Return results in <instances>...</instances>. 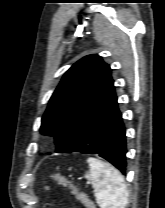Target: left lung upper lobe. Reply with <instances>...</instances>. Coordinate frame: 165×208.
<instances>
[{"mask_svg": "<svg viewBox=\"0 0 165 208\" xmlns=\"http://www.w3.org/2000/svg\"><path fill=\"white\" fill-rule=\"evenodd\" d=\"M114 90L110 66L98 55L83 57L64 74L51 96L41 133L55 136L57 152L66 151Z\"/></svg>", "mask_w": 165, "mask_h": 208, "instance_id": "1", "label": "left lung upper lobe"}]
</instances>
